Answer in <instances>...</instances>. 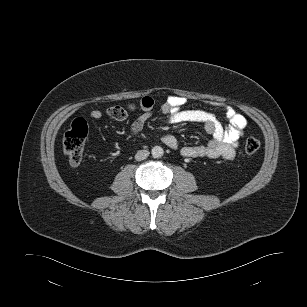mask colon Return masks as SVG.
I'll use <instances>...</instances> for the list:
<instances>
[{
  "label": "colon",
  "instance_id": "colon-1",
  "mask_svg": "<svg viewBox=\"0 0 307 307\" xmlns=\"http://www.w3.org/2000/svg\"><path fill=\"white\" fill-rule=\"evenodd\" d=\"M88 134V126L84 119L78 118L73 121L71 128L63 137V150L72 165H78L83 158L85 141ZM260 148V142L256 138H248L244 145L247 154H254Z\"/></svg>",
  "mask_w": 307,
  "mask_h": 307
}]
</instances>
